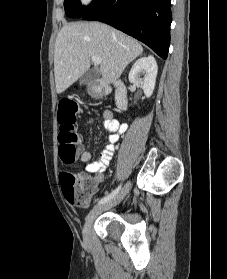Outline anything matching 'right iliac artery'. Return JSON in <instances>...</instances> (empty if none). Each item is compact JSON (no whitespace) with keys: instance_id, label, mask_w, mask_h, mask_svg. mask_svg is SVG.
I'll use <instances>...</instances> for the list:
<instances>
[{"instance_id":"82829eb1","label":"right iliac artery","mask_w":227,"mask_h":279,"mask_svg":"<svg viewBox=\"0 0 227 279\" xmlns=\"http://www.w3.org/2000/svg\"><path fill=\"white\" fill-rule=\"evenodd\" d=\"M121 189V185L116 188L113 192H111L109 195H107L106 197L102 198L98 204H103V203H106L108 202L109 200L113 199L118 193H119V190Z\"/></svg>"}]
</instances>
